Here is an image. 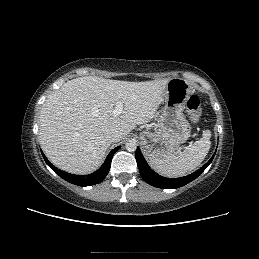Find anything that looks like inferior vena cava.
Segmentation results:
<instances>
[{
	"instance_id": "inferior-vena-cava-1",
	"label": "inferior vena cava",
	"mask_w": 259,
	"mask_h": 259,
	"mask_svg": "<svg viewBox=\"0 0 259 259\" xmlns=\"http://www.w3.org/2000/svg\"><path fill=\"white\" fill-rule=\"evenodd\" d=\"M107 141L110 143H115L120 141L121 133L117 130H111L106 135Z\"/></svg>"
}]
</instances>
